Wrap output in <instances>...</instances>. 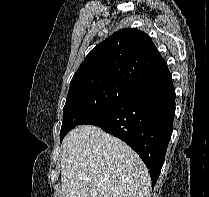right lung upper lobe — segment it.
I'll list each match as a JSON object with an SVG mask.
<instances>
[{"instance_id":"obj_1","label":"right lung upper lobe","mask_w":209,"mask_h":197,"mask_svg":"<svg viewBox=\"0 0 209 197\" xmlns=\"http://www.w3.org/2000/svg\"><path fill=\"white\" fill-rule=\"evenodd\" d=\"M169 74L150 37L140 30L126 28L113 33L92 49L70 84L114 80L140 89Z\"/></svg>"}]
</instances>
